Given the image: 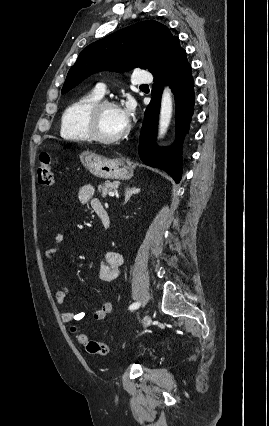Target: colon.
<instances>
[{"mask_svg": "<svg viewBox=\"0 0 269 426\" xmlns=\"http://www.w3.org/2000/svg\"><path fill=\"white\" fill-rule=\"evenodd\" d=\"M37 172L38 181L42 186H51L53 184V167L48 153L40 155ZM77 340L90 354L105 356L110 352L109 344L91 340L85 334H78Z\"/></svg>", "mask_w": 269, "mask_h": 426, "instance_id": "1", "label": "colon"}]
</instances>
